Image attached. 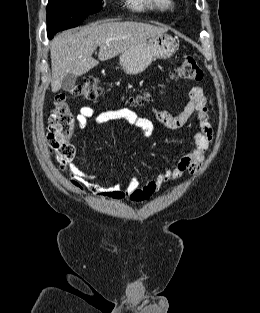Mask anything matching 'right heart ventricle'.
Returning a JSON list of instances; mask_svg holds the SVG:
<instances>
[{
    "label": "right heart ventricle",
    "instance_id": "right-heart-ventricle-1",
    "mask_svg": "<svg viewBox=\"0 0 260 313\" xmlns=\"http://www.w3.org/2000/svg\"><path fill=\"white\" fill-rule=\"evenodd\" d=\"M130 5L139 11L156 10L161 12L169 11L173 8V0H128Z\"/></svg>",
    "mask_w": 260,
    "mask_h": 313
}]
</instances>
